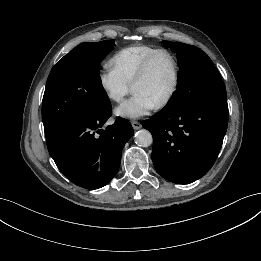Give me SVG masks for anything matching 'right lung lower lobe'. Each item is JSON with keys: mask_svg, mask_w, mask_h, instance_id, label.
I'll use <instances>...</instances> for the list:
<instances>
[{"mask_svg": "<svg viewBox=\"0 0 261 261\" xmlns=\"http://www.w3.org/2000/svg\"><path fill=\"white\" fill-rule=\"evenodd\" d=\"M111 115L109 107L99 116L68 124L46 137L57 167L78 186L101 188L118 171L122 149L133 135V128L127 120L118 117L113 125L101 130Z\"/></svg>", "mask_w": 261, "mask_h": 261, "instance_id": "obj_1", "label": "right lung lower lobe"}]
</instances>
